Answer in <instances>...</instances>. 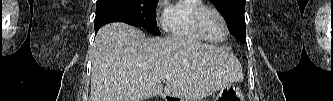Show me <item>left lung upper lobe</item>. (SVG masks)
I'll return each instance as SVG.
<instances>
[{
	"instance_id": "left-lung-upper-lobe-1",
	"label": "left lung upper lobe",
	"mask_w": 333,
	"mask_h": 101,
	"mask_svg": "<svg viewBox=\"0 0 333 101\" xmlns=\"http://www.w3.org/2000/svg\"><path fill=\"white\" fill-rule=\"evenodd\" d=\"M224 17L227 26L234 37L245 42V0H210Z\"/></svg>"
}]
</instances>
